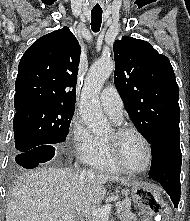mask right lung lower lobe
<instances>
[{
  "instance_id": "right-lung-lower-lobe-1",
  "label": "right lung lower lobe",
  "mask_w": 190,
  "mask_h": 221,
  "mask_svg": "<svg viewBox=\"0 0 190 221\" xmlns=\"http://www.w3.org/2000/svg\"><path fill=\"white\" fill-rule=\"evenodd\" d=\"M55 145L46 144L35 147L29 151L18 154L15 158L16 162L24 168L31 169L52 159L55 155Z\"/></svg>"
}]
</instances>
